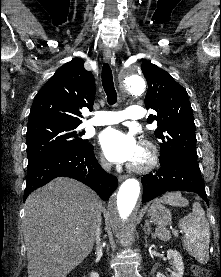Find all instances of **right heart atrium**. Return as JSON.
I'll return each instance as SVG.
<instances>
[{"label":"right heart atrium","instance_id":"1","mask_svg":"<svg viewBox=\"0 0 221 277\" xmlns=\"http://www.w3.org/2000/svg\"><path fill=\"white\" fill-rule=\"evenodd\" d=\"M100 164L103 168L108 167V163L106 162V160L103 157L100 158Z\"/></svg>","mask_w":221,"mask_h":277}]
</instances>
